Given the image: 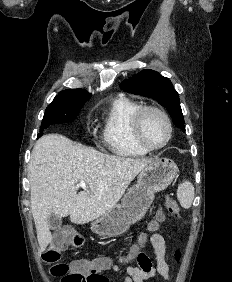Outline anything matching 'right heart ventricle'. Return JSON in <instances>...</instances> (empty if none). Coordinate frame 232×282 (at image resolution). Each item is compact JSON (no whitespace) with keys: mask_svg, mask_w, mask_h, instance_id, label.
<instances>
[{"mask_svg":"<svg viewBox=\"0 0 232 282\" xmlns=\"http://www.w3.org/2000/svg\"><path fill=\"white\" fill-rule=\"evenodd\" d=\"M141 105L123 95L116 97L106 110L103 142L121 157H142L149 151L139 146L132 135L131 120Z\"/></svg>","mask_w":232,"mask_h":282,"instance_id":"obj_1","label":"right heart ventricle"}]
</instances>
